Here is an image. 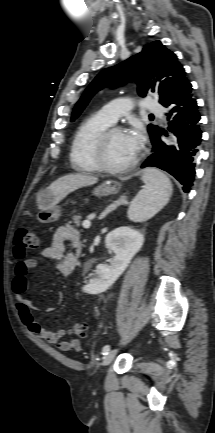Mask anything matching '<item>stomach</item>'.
<instances>
[{
    "mask_svg": "<svg viewBox=\"0 0 215 433\" xmlns=\"http://www.w3.org/2000/svg\"><path fill=\"white\" fill-rule=\"evenodd\" d=\"M121 185L115 181H107L93 190V195L104 197L119 192ZM37 203L40 209L38 220L47 224L57 221L61 216V209L57 206V199L49 189L40 191L37 194Z\"/></svg>",
    "mask_w": 215,
    "mask_h": 433,
    "instance_id": "0dacf381",
    "label": "stomach"
}]
</instances>
